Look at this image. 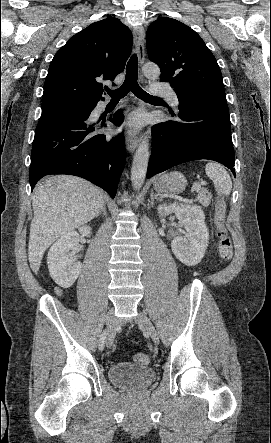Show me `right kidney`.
Returning <instances> with one entry per match:
<instances>
[{
  "label": "right kidney",
  "instance_id": "ca27d5eb",
  "mask_svg": "<svg viewBox=\"0 0 271 443\" xmlns=\"http://www.w3.org/2000/svg\"><path fill=\"white\" fill-rule=\"evenodd\" d=\"M91 229L90 225H82L79 227V233L90 237ZM79 233L78 231H67L51 245L48 251L47 263L50 275L61 287L73 285L81 271L82 263L73 257L76 253L75 245H78L80 241Z\"/></svg>",
  "mask_w": 271,
  "mask_h": 443
}]
</instances>
